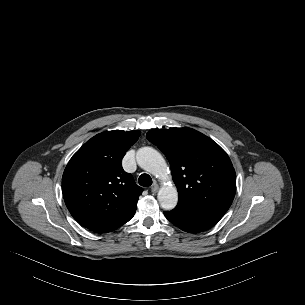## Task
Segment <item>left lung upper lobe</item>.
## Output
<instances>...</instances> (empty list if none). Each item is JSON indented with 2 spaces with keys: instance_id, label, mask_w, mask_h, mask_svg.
Listing matches in <instances>:
<instances>
[{
  "instance_id": "1",
  "label": "left lung upper lobe",
  "mask_w": 305,
  "mask_h": 305,
  "mask_svg": "<svg viewBox=\"0 0 305 305\" xmlns=\"http://www.w3.org/2000/svg\"><path fill=\"white\" fill-rule=\"evenodd\" d=\"M147 139L167 157L179 200L175 208L228 210L236 192V174L226 152L191 128L153 129Z\"/></svg>"
}]
</instances>
